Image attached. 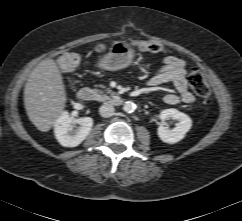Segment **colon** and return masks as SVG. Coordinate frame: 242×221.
Segmentation results:
<instances>
[{"instance_id": "colon-1", "label": "colon", "mask_w": 242, "mask_h": 221, "mask_svg": "<svg viewBox=\"0 0 242 221\" xmlns=\"http://www.w3.org/2000/svg\"><path fill=\"white\" fill-rule=\"evenodd\" d=\"M131 47L136 52H153L158 53L165 50V47L162 43L157 41H137L134 40L131 42ZM106 49L105 45H99L98 51L104 52ZM80 63V56L77 53L74 52H68L63 54L59 61V67L62 71L68 72L76 68ZM188 83L194 93L202 98V99H208L211 95V91L209 88V85L205 81L203 74L197 67H191L189 69L188 73Z\"/></svg>"}]
</instances>
